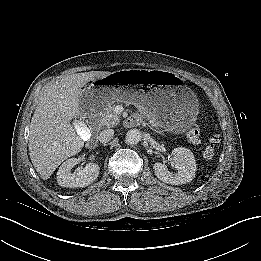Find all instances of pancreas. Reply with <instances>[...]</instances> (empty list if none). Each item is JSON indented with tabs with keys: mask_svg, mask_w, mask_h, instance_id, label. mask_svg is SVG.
<instances>
[{
	"mask_svg": "<svg viewBox=\"0 0 261 261\" xmlns=\"http://www.w3.org/2000/svg\"><path fill=\"white\" fill-rule=\"evenodd\" d=\"M119 123V116L115 112L114 105L109 104L100 114V125L111 128ZM152 126H154L152 124Z\"/></svg>",
	"mask_w": 261,
	"mask_h": 261,
	"instance_id": "pancreas-1",
	"label": "pancreas"
}]
</instances>
